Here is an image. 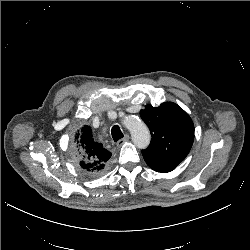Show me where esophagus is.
Wrapping results in <instances>:
<instances>
[{
    "instance_id": "1",
    "label": "esophagus",
    "mask_w": 250,
    "mask_h": 250,
    "mask_svg": "<svg viewBox=\"0 0 250 250\" xmlns=\"http://www.w3.org/2000/svg\"><path fill=\"white\" fill-rule=\"evenodd\" d=\"M129 140V135H125L122 139L117 142V146L121 147L125 142Z\"/></svg>"
}]
</instances>
